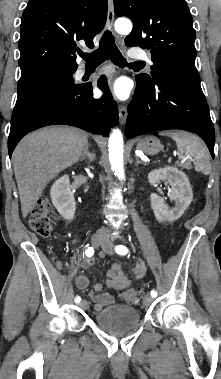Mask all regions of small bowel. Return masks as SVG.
<instances>
[{
    "mask_svg": "<svg viewBox=\"0 0 221 379\" xmlns=\"http://www.w3.org/2000/svg\"><path fill=\"white\" fill-rule=\"evenodd\" d=\"M94 258L89 257L85 259L82 263L84 269H90L94 265ZM58 267L61 264L57 263ZM133 277L135 279H142L146 273L147 268L143 261L138 260L135 267L131 270ZM109 280L107 281V286L110 289L116 290L118 293L124 291L132 282V279L125 273L122 267L118 264H113L108 271ZM89 281L85 275H78L76 277V286L79 289H86L88 287ZM103 285L101 283H96L94 289L88 293V297L95 303V310L100 311L108 305L114 302L113 296L109 292L100 293Z\"/></svg>",
    "mask_w": 221,
    "mask_h": 379,
    "instance_id": "obj_1",
    "label": "small bowel"
}]
</instances>
